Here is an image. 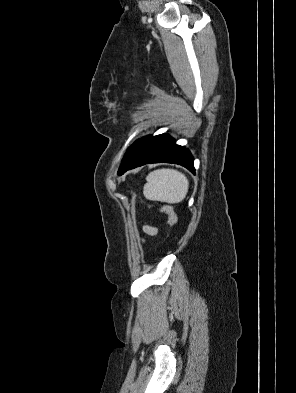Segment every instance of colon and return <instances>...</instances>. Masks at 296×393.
<instances>
[{"mask_svg": "<svg viewBox=\"0 0 296 393\" xmlns=\"http://www.w3.org/2000/svg\"><path fill=\"white\" fill-rule=\"evenodd\" d=\"M161 212L167 216V224L170 228H172L177 221L176 214L171 205L165 204L161 207Z\"/></svg>", "mask_w": 296, "mask_h": 393, "instance_id": "5ec220e1", "label": "colon"}]
</instances>
